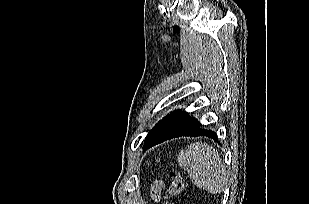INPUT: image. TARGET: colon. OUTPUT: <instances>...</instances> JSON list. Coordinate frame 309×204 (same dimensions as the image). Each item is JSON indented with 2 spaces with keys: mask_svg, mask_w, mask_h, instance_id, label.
Returning a JSON list of instances; mask_svg holds the SVG:
<instances>
[{
  "mask_svg": "<svg viewBox=\"0 0 309 204\" xmlns=\"http://www.w3.org/2000/svg\"><path fill=\"white\" fill-rule=\"evenodd\" d=\"M170 185L165 190L163 204H175L176 199L181 195L185 188L183 175L177 170H171L169 173Z\"/></svg>",
  "mask_w": 309,
  "mask_h": 204,
  "instance_id": "colon-1",
  "label": "colon"
}]
</instances>
